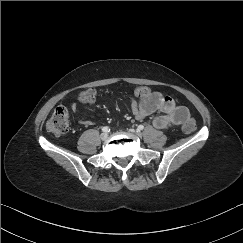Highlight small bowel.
Here are the masks:
<instances>
[{
	"label": "small bowel",
	"instance_id": "c3829d8e",
	"mask_svg": "<svg viewBox=\"0 0 243 243\" xmlns=\"http://www.w3.org/2000/svg\"><path fill=\"white\" fill-rule=\"evenodd\" d=\"M144 92L138 95V100L132 99L131 112L136 120H143L151 116L156 111H161L153 120V125L157 129H165L170 125H181L190 118L189 109L183 105H177L174 99L168 95L157 92H151L148 88L142 87ZM71 110L77 113V105L73 103ZM79 123H86L85 120L79 119Z\"/></svg>",
	"mask_w": 243,
	"mask_h": 243
}]
</instances>
